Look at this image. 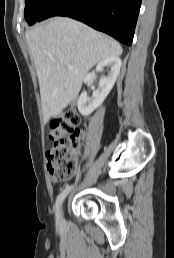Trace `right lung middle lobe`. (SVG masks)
I'll use <instances>...</instances> for the list:
<instances>
[{
  "label": "right lung middle lobe",
  "instance_id": "right-lung-middle-lobe-1",
  "mask_svg": "<svg viewBox=\"0 0 174 258\" xmlns=\"http://www.w3.org/2000/svg\"><path fill=\"white\" fill-rule=\"evenodd\" d=\"M53 0H25V19L29 25L41 21L44 12Z\"/></svg>",
  "mask_w": 174,
  "mask_h": 258
}]
</instances>
